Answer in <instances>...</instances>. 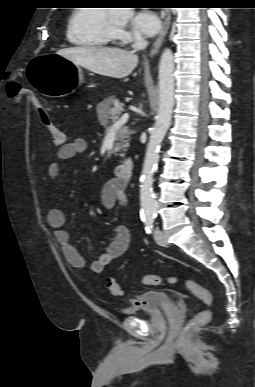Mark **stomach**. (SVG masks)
Listing matches in <instances>:
<instances>
[{
	"label": "stomach",
	"mask_w": 255,
	"mask_h": 387,
	"mask_svg": "<svg viewBox=\"0 0 255 387\" xmlns=\"http://www.w3.org/2000/svg\"><path fill=\"white\" fill-rule=\"evenodd\" d=\"M53 46H41L43 55H35L27 66L26 82H32L34 91L39 95H53L63 99L65 91H75L76 84L83 80L79 65L57 55Z\"/></svg>",
	"instance_id": "obj_1"
}]
</instances>
